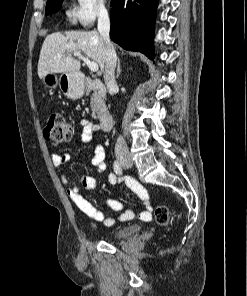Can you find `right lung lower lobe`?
<instances>
[{
	"mask_svg": "<svg viewBox=\"0 0 247 296\" xmlns=\"http://www.w3.org/2000/svg\"><path fill=\"white\" fill-rule=\"evenodd\" d=\"M110 38L121 47L154 54V25L158 0H112Z\"/></svg>",
	"mask_w": 247,
	"mask_h": 296,
	"instance_id": "1",
	"label": "right lung lower lobe"
}]
</instances>
